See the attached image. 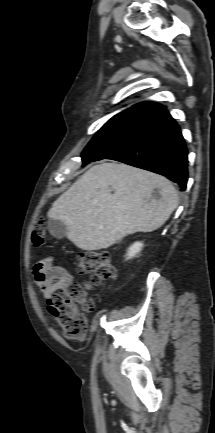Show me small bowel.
Returning a JSON list of instances; mask_svg holds the SVG:
<instances>
[{
    "instance_id": "obj_1",
    "label": "small bowel",
    "mask_w": 215,
    "mask_h": 433,
    "mask_svg": "<svg viewBox=\"0 0 215 433\" xmlns=\"http://www.w3.org/2000/svg\"><path fill=\"white\" fill-rule=\"evenodd\" d=\"M32 274L35 284L46 299L73 282L72 274L66 268L56 265L52 257L37 262Z\"/></svg>"
}]
</instances>
